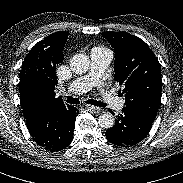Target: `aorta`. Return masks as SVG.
I'll return each instance as SVG.
<instances>
[{"label": "aorta", "mask_w": 183, "mask_h": 183, "mask_svg": "<svg viewBox=\"0 0 183 183\" xmlns=\"http://www.w3.org/2000/svg\"><path fill=\"white\" fill-rule=\"evenodd\" d=\"M90 66V59L87 55L76 54L70 60V69L75 74H84L88 71ZM115 122L114 116L110 113H103L99 119L98 123L101 128L110 129L113 127Z\"/></svg>", "instance_id": "obj_1"}]
</instances>
